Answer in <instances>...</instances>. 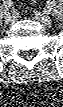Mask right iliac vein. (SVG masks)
Listing matches in <instances>:
<instances>
[{
    "mask_svg": "<svg viewBox=\"0 0 63 107\" xmlns=\"http://www.w3.org/2000/svg\"><path fill=\"white\" fill-rule=\"evenodd\" d=\"M4 21L6 24H9L13 21V16L10 13L4 15Z\"/></svg>",
    "mask_w": 63,
    "mask_h": 107,
    "instance_id": "right-iliac-vein-1",
    "label": "right iliac vein"
}]
</instances>
